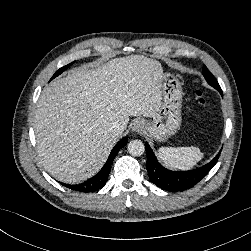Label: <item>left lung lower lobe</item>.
Returning a JSON list of instances; mask_svg holds the SVG:
<instances>
[{
	"instance_id": "obj_1",
	"label": "left lung lower lobe",
	"mask_w": 251,
	"mask_h": 251,
	"mask_svg": "<svg viewBox=\"0 0 251 251\" xmlns=\"http://www.w3.org/2000/svg\"><path fill=\"white\" fill-rule=\"evenodd\" d=\"M214 88L223 95L219 86H215ZM145 149L147 153L146 168L151 182L167 191H184L192 188L214 167L220 155V153L217 154L213 160L197 169L189 171H171L164 168L158 162L148 143H145Z\"/></svg>"
}]
</instances>
